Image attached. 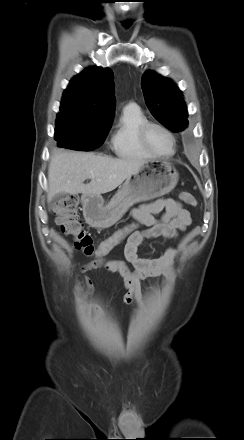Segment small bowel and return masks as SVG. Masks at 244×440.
Segmentation results:
<instances>
[{
	"mask_svg": "<svg viewBox=\"0 0 244 440\" xmlns=\"http://www.w3.org/2000/svg\"><path fill=\"white\" fill-rule=\"evenodd\" d=\"M161 214L159 218L156 215ZM132 216L143 226L144 230H139L127 238L124 248V255L128 262L134 268V272L126 269L122 262L109 271L118 272L123 280L126 293L124 295L125 303L140 305L142 297L141 280L146 278L168 276L177 255V250L173 247L159 258L146 259L140 258L137 254L138 246L144 239L166 237L177 238L178 232L186 229L191 224V216L181 203L174 199H160L150 204L142 205L133 209ZM95 268L92 263L82 267L83 271H89ZM89 290L93 288V282L90 278L86 279ZM89 309L97 310L94 305H88Z\"/></svg>",
	"mask_w": 244,
	"mask_h": 440,
	"instance_id": "c3829d8e",
	"label": "small bowel"
}]
</instances>
